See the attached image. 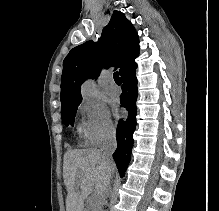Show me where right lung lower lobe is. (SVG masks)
<instances>
[{
  "label": "right lung lower lobe",
  "mask_w": 219,
  "mask_h": 211,
  "mask_svg": "<svg viewBox=\"0 0 219 211\" xmlns=\"http://www.w3.org/2000/svg\"><path fill=\"white\" fill-rule=\"evenodd\" d=\"M137 64L129 67L121 76L123 82L120 102L126 108L129 115L126 121H119L116 131L117 149L113 153V158L119 170L120 176L124 177L127 166L131 158L133 145V132L136 127V99L138 96L137 79L135 70Z\"/></svg>",
  "instance_id": "obj_1"
}]
</instances>
